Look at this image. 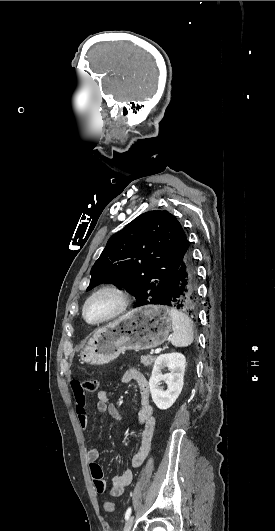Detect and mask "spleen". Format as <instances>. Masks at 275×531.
<instances>
[{"instance_id":"1","label":"spleen","mask_w":275,"mask_h":531,"mask_svg":"<svg viewBox=\"0 0 275 531\" xmlns=\"http://www.w3.org/2000/svg\"><path fill=\"white\" fill-rule=\"evenodd\" d=\"M169 313L172 319V345L174 347H189L194 341L193 321L189 319L186 313L177 311V309H170Z\"/></svg>"}]
</instances>
